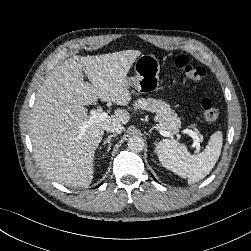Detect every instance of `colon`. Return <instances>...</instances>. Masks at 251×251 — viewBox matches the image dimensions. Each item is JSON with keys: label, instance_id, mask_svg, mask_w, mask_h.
Returning a JSON list of instances; mask_svg holds the SVG:
<instances>
[{"label": "colon", "instance_id": "obj_1", "mask_svg": "<svg viewBox=\"0 0 251 251\" xmlns=\"http://www.w3.org/2000/svg\"><path fill=\"white\" fill-rule=\"evenodd\" d=\"M176 67L184 74V76L193 82H199L205 75V69L199 65L193 64L185 55H180L175 61ZM203 115L206 121L214 122L219 117V110L209 98L201 100Z\"/></svg>", "mask_w": 251, "mask_h": 251}]
</instances>
